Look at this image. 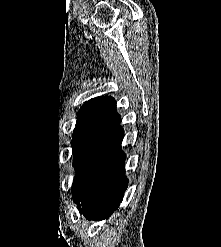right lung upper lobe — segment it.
<instances>
[{"instance_id":"cb5924a9","label":"right lung upper lobe","mask_w":221,"mask_h":247,"mask_svg":"<svg viewBox=\"0 0 221 247\" xmlns=\"http://www.w3.org/2000/svg\"><path fill=\"white\" fill-rule=\"evenodd\" d=\"M115 99L109 96L97 97L86 102L77 114L76 129L84 131L118 119Z\"/></svg>"}]
</instances>
